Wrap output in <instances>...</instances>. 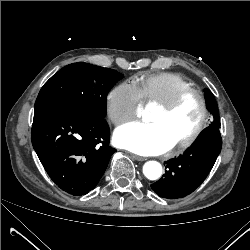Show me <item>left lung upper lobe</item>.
I'll return each mask as SVG.
<instances>
[{
    "instance_id": "5c2ea615",
    "label": "left lung upper lobe",
    "mask_w": 250,
    "mask_h": 250,
    "mask_svg": "<svg viewBox=\"0 0 250 250\" xmlns=\"http://www.w3.org/2000/svg\"><path fill=\"white\" fill-rule=\"evenodd\" d=\"M205 99H206V106L207 109L214 117V121L209 125L208 128H220V119L218 115V106L215 101L213 94L209 90H205Z\"/></svg>"
}]
</instances>
